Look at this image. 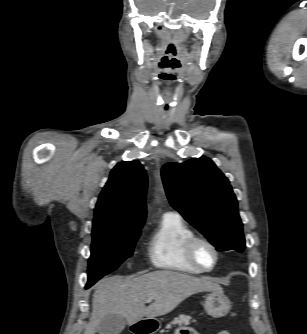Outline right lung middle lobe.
<instances>
[{
	"mask_svg": "<svg viewBox=\"0 0 307 334\" xmlns=\"http://www.w3.org/2000/svg\"><path fill=\"white\" fill-rule=\"evenodd\" d=\"M142 225H117L92 229L91 257L86 288L117 269L132 256Z\"/></svg>",
	"mask_w": 307,
	"mask_h": 334,
	"instance_id": "obj_1",
	"label": "right lung middle lobe"
}]
</instances>
